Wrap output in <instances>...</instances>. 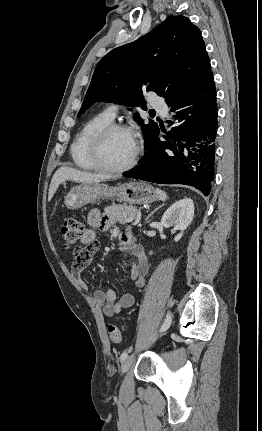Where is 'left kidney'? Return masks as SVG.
Here are the masks:
<instances>
[{
	"label": "left kidney",
	"instance_id": "5707ae66",
	"mask_svg": "<svg viewBox=\"0 0 262 431\" xmlns=\"http://www.w3.org/2000/svg\"><path fill=\"white\" fill-rule=\"evenodd\" d=\"M194 216V204L190 198L182 199L171 205L161 219V224L166 227H173L180 230L174 241H179L183 231L191 224Z\"/></svg>",
	"mask_w": 262,
	"mask_h": 431
}]
</instances>
